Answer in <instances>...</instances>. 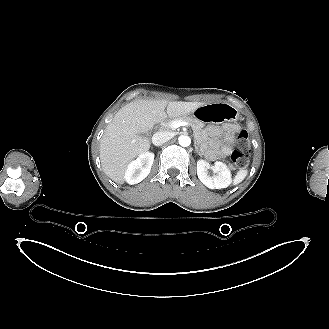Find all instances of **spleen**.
I'll return each instance as SVG.
<instances>
[{
	"instance_id": "obj_1",
	"label": "spleen",
	"mask_w": 329,
	"mask_h": 329,
	"mask_svg": "<svg viewBox=\"0 0 329 329\" xmlns=\"http://www.w3.org/2000/svg\"><path fill=\"white\" fill-rule=\"evenodd\" d=\"M247 174H248L247 170H245V169L239 170L234 178V184L237 185V184L241 183L245 179Z\"/></svg>"
}]
</instances>
